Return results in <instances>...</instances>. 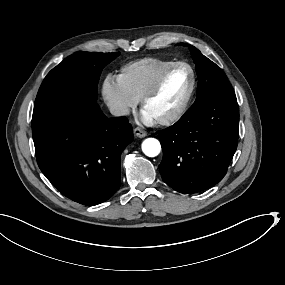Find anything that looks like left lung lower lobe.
<instances>
[{
    "mask_svg": "<svg viewBox=\"0 0 285 285\" xmlns=\"http://www.w3.org/2000/svg\"><path fill=\"white\" fill-rule=\"evenodd\" d=\"M158 133L163 181L183 194L208 189L223 179L237 148L236 96H217L193 104L174 125Z\"/></svg>",
    "mask_w": 285,
    "mask_h": 285,
    "instance_id": "0a47b994",
    "label": "left lung lower lobe"
}]
</instances>
